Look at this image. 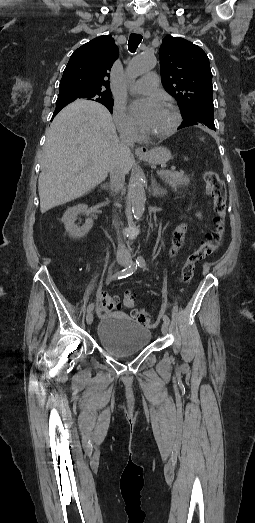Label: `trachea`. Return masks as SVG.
<instances>
[{"label":"trachea","mask_w":255,"mask_h":523,"mask_svg":"<svg viewBox=\"0 0 255 523\" xmlns=\"http://www.w3.org/2000/svg\"><path fill=\"white\" fill-rule=\"evenodd\" d=\"M141 40L142 35H140V33H131L128 41V48L131 53L136 52Z\"/></svg>","instance_id":"trachea-1"}]
</instances>
